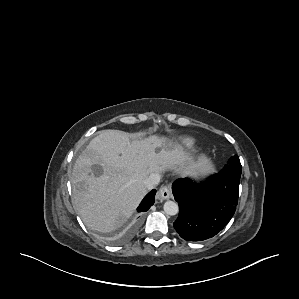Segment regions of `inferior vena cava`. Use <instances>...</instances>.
Masks as SVG:
<instances>
[{"mask_svg": "<svg viewBox=\"0 0 299 299\" xmlns=\"http://www.w3.org/2000/svg\"><path fill=\"white\" fill-rule=\"evenodd\" d=\"M160 179L161 176L158 173H153L150 174L149 177L144 180L143 184L147 190H152L159 184Z\"/></svg>", "mask_w": 299, "mask_h": 299, "instance_id": "inferior-vena-cava-1", "label": "inferior vena cava"}]
</instances>
